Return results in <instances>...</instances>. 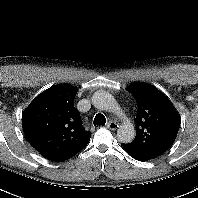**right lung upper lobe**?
Instances as JSON below:
<instances>
[{"mask_svg": "<svg viewBox=\"0 0 198 198\" xmlns=\"http://www.w3.org/2000/svg\"><path fill=\"white\" fill-rule=\"evenodd\" d=\"M75 87L59 84L39 94L22 114L23 131L40 153L62 152L90 141L74 107Z\"/></svg>", "mask_w": 198, "mask_h": 198, "instance_id": "1", "label": "right lung upper lobe"}]
</instances>
